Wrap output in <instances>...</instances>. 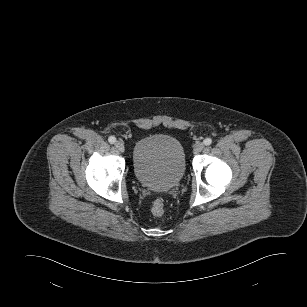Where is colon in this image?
<instances>
[{"mask_svg":"<svg viewBox=\"0 0 307 307\" xmlns=\"http://www.w3.org/2000/svg\"><path fill=\"white\" fill-rule=\"evenodd\" d=\"M151 212L155 216H161L165 212V205L162 200L156 199L151 206Z\"/></svg>","mask_w":307,"mask_h":307,"instance_id":"5ec220e1","label":"colon"}]
</instances>
